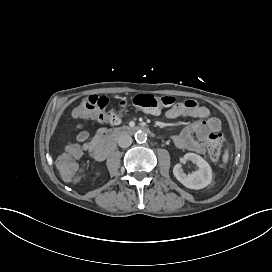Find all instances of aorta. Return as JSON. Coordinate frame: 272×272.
I'll list each match as a JSON object with an SVG mask.
<instances>
[{"mask_svg": "<svg viewBox=\"0 0 272 272\" xmlns=\"http://www.w3.org/2000/svg\"><path fill=\"white\" fill-rule=\"evenodd\" d=\"M135 137V140L138 142V143H142V142H145L147 140V134L144 132V131H137L134 135Z\"/></svg>", "mask_w": 272, "mask_h": 272, "instance_id": "obj_1", "label": "aorta"}]
</instances>
